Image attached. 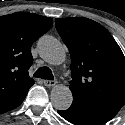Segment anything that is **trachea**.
<instances>
[{
    "label": "trachea",
    "mask_w": 125,
    "mask_h": 125,
    "mask_svg": "<svg viewBox=\"0 0 125 125\" xmlns=\"http://www.w3.org/2000/svg\"><path fill=\"white\" fill-rule=\"evenodd\" d=\"M36 78H42L47 80H54L52 71L48 67L39 68L33 75Z\"/></svg>",
    "instance_id": "obj_1"
}]
</instances>
